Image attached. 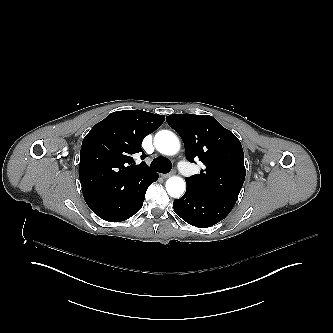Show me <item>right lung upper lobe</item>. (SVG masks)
<instances>
[{
	"label": "right lung upper lobe",
	"mask_w": 333,
	"mask_h": 333,
	"mask_svg": "<svg viewBox=\"0 0 333 333\" xmlns=\"http://www.w3.org/2000/svg\"><path fill=\"white\" fill-rule=\"evenodd\" d=\"M164 115L141 110L116 111L97 123L85 136L80 151L79 178L82 191L91 184L116 183L151 170L144 162L135 165L132 155L142 152L141 143L164 122Z\"/></svg>",
	"instance_id": "1"
}]
</instances>
